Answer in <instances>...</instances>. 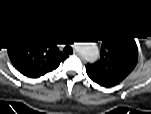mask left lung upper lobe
<instances>
[{"label": "left lung upper lobe", "mask_w": 151, "mask_h": 114, "mask_svg": "<svg viewBox=\"0 0 151 114\" xmlns=\"http://www.w3.org/2000/svg\"><path fill=\"white\" fill-rule=\"evenodd\" d=\"M133 50L123 41L103 38L97 62L87 66L89 77L97 83L113 84L127 76L136 63Z\"/></svg>", "instance_id": "5c2ea615"}]
</instances>
